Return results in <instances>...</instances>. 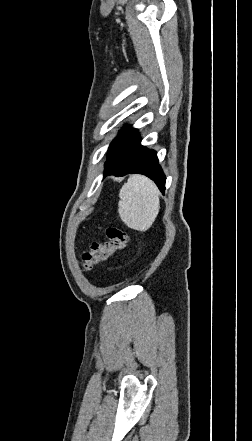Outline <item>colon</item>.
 Here are the masks:
<instances>
[{"label": "colon", "mask_w": 252, "mask_h": 441, "mask_svg": "<svg viewBox=\"0 0 252 441\" xmlns=\"http://www.w3.org/2000/svg\"><path fill=\"white\" fill-rule=\"evenodd\" d=\"M106 241L94 242L88 251L81 255L80 263L85 271H90L101 262L108 259L115 252L124 249L128 242L127 233L117 226H110L105 229Z\"/></svg>", "instance_id": "colon-1"}]
</instances>
